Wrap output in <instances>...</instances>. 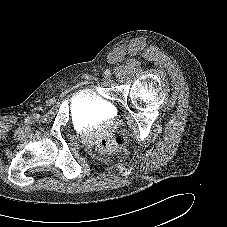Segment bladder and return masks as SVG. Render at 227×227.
<instances>
[{"label": "bladder", "mask_w": 227, "mask_h": 227, "mask_svg": "<svg viewBox=\"0 0 227 227\" xmlns=\"http://www.w3.org/2000/svg\"><path fill=\"white\" fill-rule=\"evenodd\" d=\"M72 115L79 129L113 118L117 112L113 102L100 96L94 89L79 92L72 103Z\"/></svg>", "instance_id": "1"}]
</instances>
